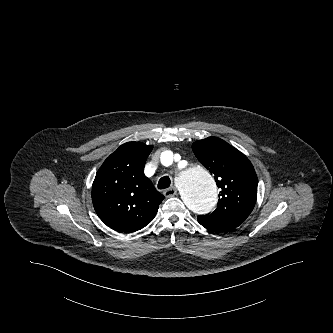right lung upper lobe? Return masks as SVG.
Wrapping results in <instances>:
<instances>
[{"label":"right lung upper lobe","instance_id":"1","mask_svg":"<svg viewBox=\"0 0 333 333\" xmlns=\"http://www.w3.org/2000/svg\"><path fill=\"white\" fill-rule=\"evenodd\" d=\"M152 149L140 142L125 143L99 168L92 185V202L110 228L131 233L155 217L164 196L144 174Z\"/></svg>","mask_w":333,"mask_h":333}]
</instances>
